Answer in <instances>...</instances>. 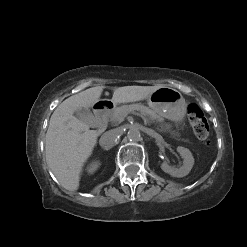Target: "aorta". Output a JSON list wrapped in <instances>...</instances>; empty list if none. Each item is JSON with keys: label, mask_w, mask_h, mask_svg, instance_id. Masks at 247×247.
Returning a JSON list of instances; mask_svg holds the SVG:
<instances>
[{"label": "aorta", "mask_w": 247, "mask_h": 247, "mask_svg": "<svg viewBox=\"0 0 247 247\" xmlns=\"http://www.w3.org/2000/svg\"><path fill=\"white\" fill-rule=\"evenodd\" d=\"M127 137L130 141H133V142H138L141 140V133L139 131V129L135 128V127H132L128 130L127 132Z\"/></svg>", "instance_id": "aorta-1"}]
</instances>
